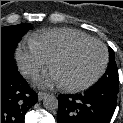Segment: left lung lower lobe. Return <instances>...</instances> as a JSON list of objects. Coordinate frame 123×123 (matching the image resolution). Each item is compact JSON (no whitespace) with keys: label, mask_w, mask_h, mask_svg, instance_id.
<instances>
[{"label":"left lung lower lobe","mask_w":123,"mask_h":123,"mask_svg":"<svg viewBox=\"0 0 123 123\" xmlns=\"http://www.w3.org/2000/svg\"><path fill=\"white\" fill-rule=\"evenodd\" d=\"M119 88L94 85L83 94L59 95L58 123H109Z\"/></svg>","instance_id":"0a47b994"}]
</instances>
